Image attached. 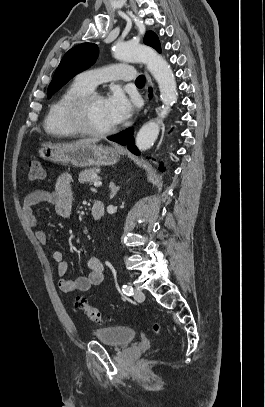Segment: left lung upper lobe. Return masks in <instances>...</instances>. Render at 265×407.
Listing matches in <instances>:
<instances>
[{
    "label": "left lung upper lobe",
    "instance_id": "obj_1",
    "mask_svg": "<svg viewBox=\"0 0 265 407\" xmlns=\"http://www.w3.org/2000/svg\"><path fill=\"white\" fill-rule=\"evenodd\" d=\"M144 43L161 52L160 42L157 35L148 31L144 37ZM98 56V47L93 43L79 44L70 49L61 60L49 84L47 96L50 98L57 90L65 85L73 76L92 65Z\"/></svg>",
    "mask_w": 265,
    "mask_h": 407
}]
</instances>
